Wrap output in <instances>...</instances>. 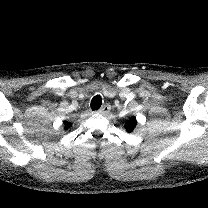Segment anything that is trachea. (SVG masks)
Here are the masks:
<instances>
[{
	"mask_svg": "<svg viewBox=\"0 0 208 208\" xmlns=\"http://www.w3.org/2000/svg\"><path fill=\"white\" fill-rule=\"evenodd\" d=\"M91 109L92 111L98 110L102 105V98L100 95H96L91 100Z\"/></svg>",
	"mask_w": 208,
	"mask_h": 208,
	"instance_id": "obj_1",
	"label": "trachea"
}]
</instances>
